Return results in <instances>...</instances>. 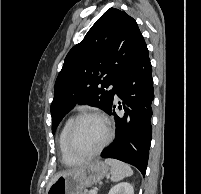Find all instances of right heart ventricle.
<instances>
[{
	"mask_svg": "<svg viewBox=\"0 0 201 194\" xmlns=\"http://www.w3.org/2000/svg\"><path fill=\"white\" fill-rule=\"evenodd\" d=\"M74 118L70 117L68 118L65 123L63 124L59 136H58V147L60 151L61 161L66 166H75L79 163H81L82 160L76 159L73 157L67 150L66 147V135L68 128Z\"/></svg>",
	"mask_w": 201,
	"mask_h": 194,
	"instance_id": "obj_1",
	"label": "right heart ventricle"
}]
</instances>
